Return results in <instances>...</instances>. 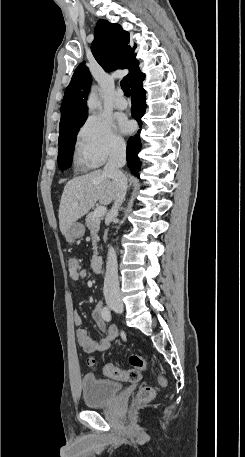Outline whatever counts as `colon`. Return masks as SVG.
<instances>
[{"mask_svg": "<svg viewBox=\"0 0 245 457\" xmlns=\"http://www.w3.org/2000/svg\"><path fill=\"white\" fill-rule=\"evenodd\" d=\"M67 264H68V269L69 273H75L78 271V262L77 259L73 256L68 257L67 259ZM129 364L132 366V369L125 370L122 368H119L118 366L112 364V363H107L104 366V373L108 377H111L113 379H118V380H123V381H129V382H136L139 381L142 378V371L146 368V360L137 354H132L129 357ZM87 365L89 367L94 368L95 367V360L94 358L89 357L87 359ZM160 381L163 383V378L160 377ZM154 397V389L149 386L142 387L134 400V405L135 406H140L143 404H146L150 402Z\"/></svg>", "mask_w": 245, "mask_h": 457, "instance_id": "5ec220e1", "label": "colon"}]
</instances>
